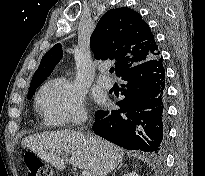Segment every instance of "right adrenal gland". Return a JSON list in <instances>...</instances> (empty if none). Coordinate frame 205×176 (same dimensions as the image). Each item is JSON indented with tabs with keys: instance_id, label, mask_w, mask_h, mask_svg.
Returning <instances> with one entry per match:
<instances>
[{
	"instance_id": "right-adrenal-gland-1",
	"label": "right adrenal gland",
	"mask_w": 205,
	"mask_h": 176,
	"mask_svg": "<svg viewBox=\"0 0 205 176\" xmlns=\"http://www.w3.org/2000/svg\"><path fill=\"white\" fill-rule=\"evenodd\" d=\"M121 167H124L123 164L118 165L117 169H120ZM115 171H116V170H114V172L112 173V176H114Z\"/></svg>"
}]
</instances>
